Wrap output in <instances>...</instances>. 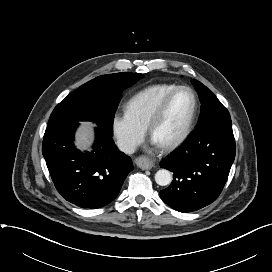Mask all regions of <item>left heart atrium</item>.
<instances>
[{
  "instance_id": "obj_1",
  "label": "left heart atrium",
  "mask_w": 272,
  "mask_h": 272,
  "mask_svg": "<svg viewBox=\"0 0 272 272\" xmlns=\"http://www.w3.org/2000/svg\"><path fill=\"white\" fill-rule=\"evenodd\" d=\"M153 143H154V144H156V145H158V143H157V142H155L154 140H153Z\"/></svg>"
}]
</instances>
